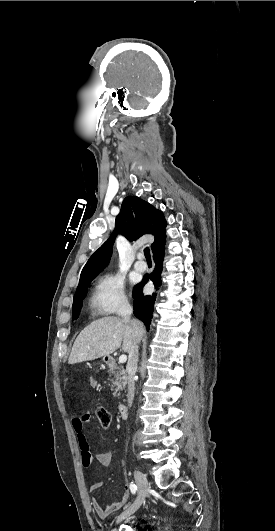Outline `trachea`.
Here are the masks:
<instances>
[{
	"instance_id": "obj_1",
	"label": "trachea",
	"mask_w": 275,
	"mask_h": 531,
	"mask_svg": "<svg viewBox=\"0 0 275 531\" xmlns=\"http://www.w3.org/2000/svg\"><path fill=\"white\" fill-rule=\"evenodd\" d=\"M144 255H145V258H146L147 261H151V255H150L149 248H145L144 249Z\"/></svg>"
}]
</instances>
